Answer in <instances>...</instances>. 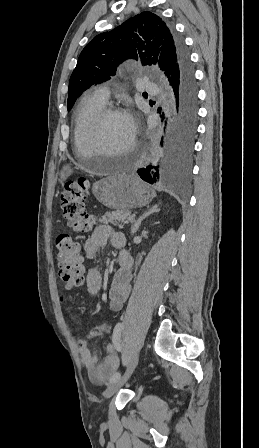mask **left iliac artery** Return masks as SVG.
Here are the masks:
<instances>
[{"instance_id":"1","label":"left iliac artery","mask_w":259,"mask_h":448,"mask_svg":"<svg viewBox=\"0 0 259 448\" xmlns=\"http://www.w3.org/2000/svg\"><path fill=\"white\" fill-rule=\"evenodd\" d=\"M123 330V324L122 323H117L116 326L114 327L113 330V335H112V343L114 348L118 351L121 352L122 351V346H121V332ZM121 376L120 372H116L114 373L109 382H114L116 381L119 377Z\"/></svg>"}]
</instances>
